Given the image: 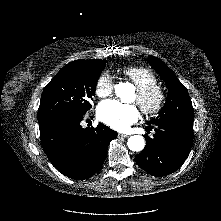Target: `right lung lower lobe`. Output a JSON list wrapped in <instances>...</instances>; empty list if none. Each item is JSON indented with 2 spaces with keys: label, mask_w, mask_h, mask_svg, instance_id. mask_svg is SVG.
Masks as SVG:
<instances>
[{
  "label": "right lung lower lobe",
  "mask_w": 221,
  "mask_h": 221,
  "mask_svg": "<svg viewBox=\"0 0 221 221\" xmlns=\"http://www.w3.org/2000/svg\"><path fill=\"white\" fill-rule=\"evenodd\" d=\"M83 115L56 117L39 122L43 149L53 166L63 175L84 180L102 166L108 144L117 132L99 123L82 128Z\"/></svg>",
  "instance_id": "98d812e1"
}]
</instances>
